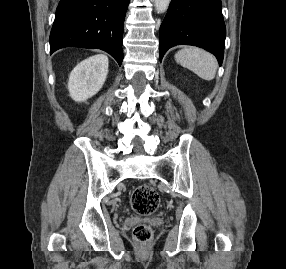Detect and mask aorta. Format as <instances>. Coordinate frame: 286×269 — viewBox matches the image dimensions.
<instances>
[{
  "instance_id": "1",
  "label": "aorta",
  "mask_w": 286,
  "mask_h": 269,
  "mask_svg": "<svg viewBox=\"0 0 286 269\" xmlns=\"http://www.w3.org/2000/svg\"><path fill=\"white\" fill-rule=\"evenodd\" d=\"M171 0H154L157 13H163L168 9Z\"/></svg>"
}]
</instances>
